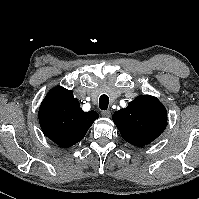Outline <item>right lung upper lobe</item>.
Returning <instances> with one entry per match:
<instances>
[{
    "label": "right lung upper lobe",
    "mask_w": 199,
    "mask_h": 199,
    "mask_svg": "<svg viewBox=\"0 0 199 199\" xmlns=\"http://www.w3.org/2000/svg\"><path fill=\"white\" fill-rule=\"evenodd\" d=\"M98 117L94 110L84 112L73 92L61 86L50 90L39 108L43 133L63 148L81 141Z\"/></svg>",
    "instance_id": "obj_1"
}]
</instances>
